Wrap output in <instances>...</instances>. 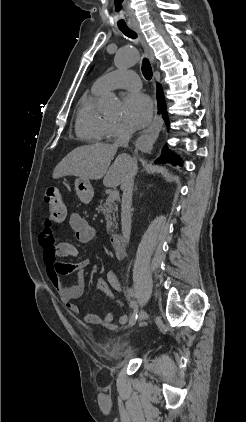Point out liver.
I'll use <instances>...</instances> for the list:
<instances>
[{
  "label": "liver",
  "mask_w": 246,
  "mask_h": 422,
  "mask_svg": "<svg viewBox=\"0 0 246 422\" xmlns=\"http://www.w3.org/2000/svg\"><path fill=\"white\" fill-rule=\"evenodd\" d=\"M116 152L117 147L106 143L78 147L55 167L52 177L58 179L73 175L87 180L104 178L106 187H117L122 184L130 167L137 168L135 161L130 164L126 154L118 155L110 166Z\"/></svg>",
  "instance_id": "obj_1"
}]
</instances>
